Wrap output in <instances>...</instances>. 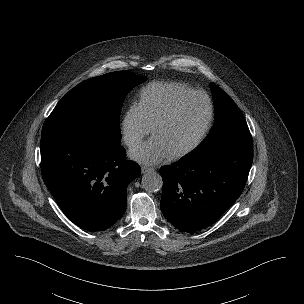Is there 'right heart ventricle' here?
I'll use <instances>...</instances> for the list:
<instances>
[{"instance_id": "1", "label": "right heart ventricle", "mask_w": 304, "mask_h": 304, "mask_svg": "<svg viewBox=\"0 0 304 304\" xmlns=\"http://www.w3.org/2000/svg\"><path fill=\"white\" fill-rule=\"evenodd\" d=\"M191 91L180 83H151L140 91L137 103L151 128L177 98Z\"/></svg>"}]
</instances>
